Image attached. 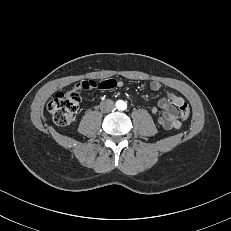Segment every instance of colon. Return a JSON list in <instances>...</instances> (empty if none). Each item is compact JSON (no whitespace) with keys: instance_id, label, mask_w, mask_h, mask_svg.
<instances>
[{"instance_id":"obj_1","label":"colon","mask_w":231,"mask_h":231,"mask_svg":"<svg viewBox=\"0 0 231 231\" xmlns=\"http://www.w3.org/2000/svg\"><path fill=\"white\" fill-rule=\"evenodd\" d=\"M81 100L82 97L80 93L75 90L67 93H57L47 106L53 121L61 126L70 124L79 108ZM179 110L182 119L189 117L190 108L186 102L180 106Z\"/></svg>"}]
</instances>
